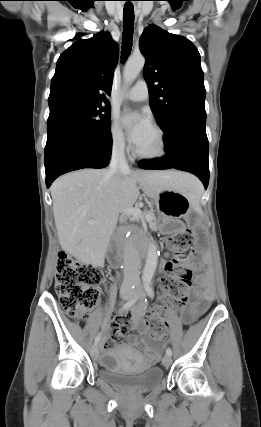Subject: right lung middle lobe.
I'll list each match as a JSON object with an SVG mask.
<instances>
[{"label":"right lung middle lobe","mask_w":261,"mask_h":427,"mask_svg":"<svg viewBox=\"0 0 261 427\" xmlns=\"http://www.w3.org/2000/svg\"><path fill=\"white\" fill-rule=\"evenodd\" d=\"M110 108L101 105L67 104L51 108L47 121V135L71 133L100 138L110 135Z\"/></svg>","instance_id":"right-lung-middle-lobe-1"}]
</instances>
